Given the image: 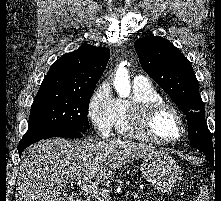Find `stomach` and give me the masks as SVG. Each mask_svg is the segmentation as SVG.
I'll return each instance as SVG.
<instances>
[{"mask_svg": "<svg viewBox=\"0 0 221 201\" xmlns=\"http://www.w3.org/2000/svg\"><path fill=\"white\" fill-rule=\"evenodd\" d=\"M142 176L158 191L169 192L181 181L182 170L165 151L146 155L140 165Z\"/></svg>", "mask_w": 221, "mask_h": 201, "instance_id": "1", "label": "stomach"}]
</instances>
